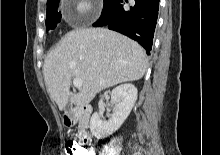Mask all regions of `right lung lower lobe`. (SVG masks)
Wrapping results in <instances>:
<instances>
[{
    "label": "right lung lower lobe",
    "instance_id": "obj_1",
    "mask_svg": "<svg viewBox=\"0 0 220 155\" xmlns=\"http://www.w3.org/2000/svg\"><path fill=\"white\" fill-rule=\"evenodd\" d=\"M135 4L127 8V0H113L102 11L101 17L93 26H108L109 29L120 32L136 40L147 54L152 48L156 26L159 0H134Z\"/></svg>",
    "mask_w": 220,
    "mask_h": 155
}]
</instances>
